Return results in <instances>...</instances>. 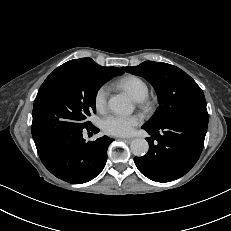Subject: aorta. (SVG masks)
<instances>
[{"label":"aorta","mask_w":231,"mask_h":231,"mask_svg":"<svg viewBox=\"0 0 231 231\" xmlns=\"http://www.w3.org/2000/svg\"><path fill=\"white\" fill-rule=\"evenodd\" d=\"M109 108L115 113H132L133 105L131 101L123 95H115L109 99ZM131 151L135 156H144L149 150L148 142L143 138H136L131 142Z\"/></svg>","instance_id":"obj_1"}]
</instances>
